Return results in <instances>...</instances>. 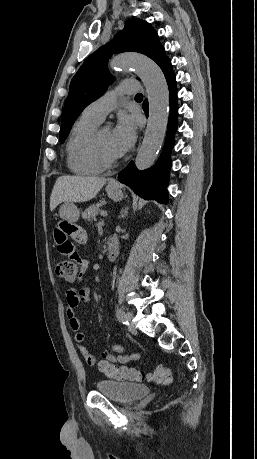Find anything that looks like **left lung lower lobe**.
<instances>
[{
	"instance_id": "1",
	"label": "left lung lower lobe",
	"mask_w": 257,
	"mask_h": 459,
	"mask_svg": "<svg viewBox=\"0 0 257 459\" xmlns=\"http://www.w3.org/2000/svg\"><path fill=\"white\" fill-rule=\"evenodd\" d=\"M162 69L169 87L170 117L163 151L156 164L150 169L139 171L133 162L120 172L118 179L129 186L137 195L146 200H156L166 204L167 182L171 167L170 152L173 147L174 134L177 129V91L176 80L172 70L171 60L166 56L158 64ZM143 109L148 115V102L145 101Z\"/></svg>"
}]
</instances>
